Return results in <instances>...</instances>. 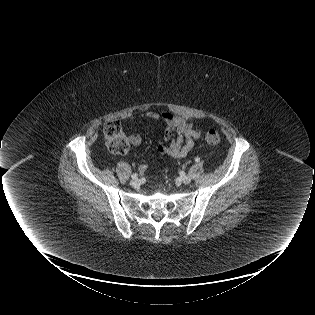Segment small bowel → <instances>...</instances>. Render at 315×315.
Returning a JSON list of instances; mask_svg holds the SVG:
<instances>
[{
	"instance_id": "small-bowel-1",
	"label": "small bowel",
	"mask_w": 315,
	"mask_h": 315,
	"mask_svg": "<svg viewBox=\"0 0 315 315\" xmlns=\"http://www.w3.org/2000/svg\"><path fill=\"white\" fill-rule=\"evenodd\" d=\"M137 118L151 119L166 126L164 138L156 142L157 152L160 156L184 158L194 149L195 140L201 137L202 130L199 126L187 118L169 112L146 111L139 115H129L126 119L135 120ZM128 141L136 147L142 143V138L138 134H132L128 137ZM138 170L141 173L145 172L147 165H138Z\"/></svg>"
}]
</instances>
